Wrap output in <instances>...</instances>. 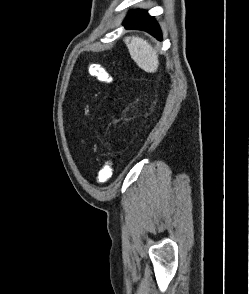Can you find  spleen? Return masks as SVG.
Instances as JSON below:
<instances>
[{
	"mask_svg": "<svg viewBox=\"0 0 249 294\" xmlns=\"http://www.w3.org/2000/svg\"><path fill=\"white\" fill-rule=\"evenodd\" d=\"M124 42L131 58L144 71L153 73L157 70L159 61L157 51L152 45L140 37H126Z\"/></svg>",
	"mask_w": 249,
	"mask_h": 294,
	"instance_id": "3e777b00",
	"label": "spleen"
}]
</instances>
